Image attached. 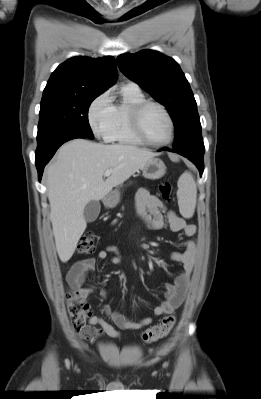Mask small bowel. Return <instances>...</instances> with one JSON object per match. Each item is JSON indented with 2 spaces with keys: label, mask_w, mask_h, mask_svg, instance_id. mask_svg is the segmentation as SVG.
I'll return each instance as SVG.
<instances>
[{
  "label": "small bowel",
  "mask_w": 261,
  "mask_h": 399,
  "mask_svg": "<svg viewBox=\"0 0 261 399\" xmlns=\"http://www.w3.org/2000/svg\"><path fill=\"white\" fill-rule=\"evenodd\" d=\"M135 209L140 220L148 229L159 230L168 226L173 232H181L186 237L195 234V226L187 223L180 215L172 210H168L163 202L147 189H140L135 197ZM183 252H174L171 259L182 264L183 272L176 278L174 284H167L165 299L155 307L154 316L159 317L172 313L184 301L190 283V277L195 265L198 251L195 240L186 239L183 241ZM110 259L113 264H120L123 260L121 252L115 246H108L97 253V258H87L76 262L68 271L66 280L73 292L85 300L94 291V287H85L84 282L87 276L95 270L96 261ZM101 296L105 298L106 293L101 290ZM104 314L120 329L139 330L152 323V318L147 317L140 321H135L126 317L120 311L112 310L109 306L103 307ZM117 338L120 332L109 322L99 316H92L89 319V326L86 332L80 336L87 340H93L101 336Z\"/></svg>",
  "instance_id": "1"
}]
</instances>
